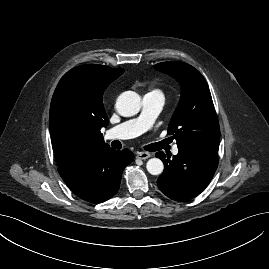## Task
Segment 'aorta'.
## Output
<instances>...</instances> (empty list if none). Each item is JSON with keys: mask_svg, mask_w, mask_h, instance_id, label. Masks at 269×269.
Instances as JSON below:
<instances>
[{"mask_svg": "<svg viewBox=\"0 0 269 269\" xmlns=\"http://www.w3.org/2000/svg\"><path fill=\"white\" fill-rule=\"evenodd\" d=\"M141 108V98L134 91L123 92L117 99L116 109L124 117L136 115ZM147 171L152 175H159L164 170V164L159 158H151L146 163Z\"/></svg>", "mask_w": 269, "mask_h": 269, "instance_id": "762f6f07", "label": "aorta"}]
</instances>
